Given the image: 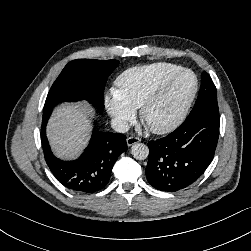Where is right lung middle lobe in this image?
<instances>
[{
	"instance_id": "dd1d6c3e",
	"label": "right lung middle lobe",
	"mask_w": 251,
	"mask_h": 251,
	"mask_svg": "<svg viewBox=\"0 0 251 251\" xmlns=\"http://www.w3.org/2000/svg\"><path fill=\"white\" fill-rule=\"evenodd\" d=\"M118 64L117 60L77 59L69 62L53 83L44 112L52 111L61 102L86 100L102 113L105 84Z\"/></svg>"
}]
</instances>
